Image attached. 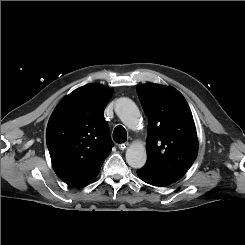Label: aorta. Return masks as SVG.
Here are the masks:
<instances>
[{
	"mask_svg": "<svg viewBox=\"0 0 245 245\" xmlns=\"http://www.w3.org/2000/svg\"><path fill=\"white\" fill-rule=\"evenodd\" d=\"M115 111L122 123L129 129L136 130L140 126V112L137 105L129 98H119ZM147 155L143 144L133 143L126 150V161L132 168H141L146 163Z\"/></svg>",
	"mask_w": 245,
	"mask_h": 245,
	"instance_id": "obj_1",
	"label": "aorta"
}]
</instances>
